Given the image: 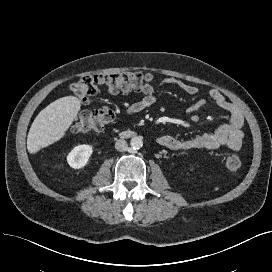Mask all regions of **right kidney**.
Segmentation results:
<instances>
[{
    "label": "right kidney",
    "instance_id": "right-kidney-1",
    "mask_svg": "<svg viewBox=\"0 0 272 272\" xmlns=\"http://www.w3.org/2000/svg\"><path fill=\"white\" fill-rule=\"evenodd\" d=\"M92 152V146L85 144L78 145L74 147L68 154L67 162L70 167L74 169H80L87 164Z\"/></svg>",
    "mask_w": 272,
    "mask_h": 272
}]
</instances>
